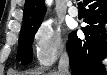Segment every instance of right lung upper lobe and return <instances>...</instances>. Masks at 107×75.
I'll use <instances>...</instances> for the list:
<instances>
[{"label": "right lung upper lobe", "instance_id": "obj_1", "mask_svg": "<svg viewBox=\"0 0 107 75\" xmlns=\"http://www.w3.org/2000/svg\"><path fill=\"white\" fill-rule=\"evenodd\" d=\"M45 15L43 0H26L24 6L23 24L42 23Z\"/></svg>", "mask_w": 107, "mask_h": 75}]
</instances>
